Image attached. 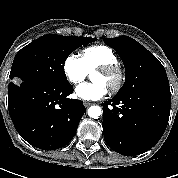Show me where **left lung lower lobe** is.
Segmentation results:
<instances>
[{"label":"left lung lower lobe","instance_id":"1","mask_svg":"<svg viewBox=\"0 0 178 178\" xmlns=\"http://www.w3.org/2000/svg\"><path fill=\"white\" fill-rule=\"evenodd\" d=\"M102 105L106 143L119 154L135 156L151 149L164 134L171 96L137 91L115 96Z\"/></svg>","mask_w":178,"mask_h":178}]
</instances>
